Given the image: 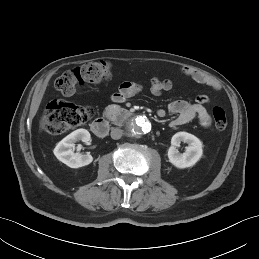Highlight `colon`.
I'll return each mask as SVG.
<instances>
[{"label": "colon", "instance_id": "obj_1", "mask_svg": "<svg viewBox=\"0 0 259 259\" xmlns=\"http://www.w3.org/2000/svg\"><path fill=\"white\" fill-rule=\"evenodd\" d=\"M111 66L106 61H91L63 73L56 80L57 90L64 96L75 93L86 83H98L109 79ZM95 114L92 107L77 106L61 100L48 103L44 113V127L51 135H59L71 128L86 123ZM215 128L222 131L227 126L225 110L214 106L211 111Z\"/></svg>", "mask_w": 259, "mask_h": 259}]
</instances>
